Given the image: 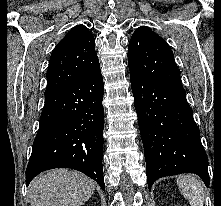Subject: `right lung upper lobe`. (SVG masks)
Returning <instances> with one entry per match:
<instances>
[{
  "mask_svg": "<svg viewBox=\"0 0 221 206\" xmlns=\"http://www.w3.org/2000/svg\"><path fill=\"white\" fill-rule=\"evenodd\" d=\"M100 67L95 39L84 25L73 27L53 50L45 94L63 88Z\"/></svg>",
  "mask_w": 221,
  "mask_h": 206,
  "instance_id": "1",
  "label": "right lung upper lobe"
}]
</instances>
